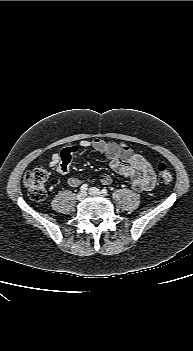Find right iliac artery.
Wrapping results in <instances>:
<instances>
[{
	"label": "right iliac artery",
	"instance_id": "1",
	"mask_svg": "<svg viewBox=\"0 0 193 351\" xmlns=\"http://www.w3.org/2000/svg\"><path fill=\"white\" fill-rule=\"evenodd\" d=\"M87 189H88V185H87V184H83V185L80 187L81 192H86Z\"/></svg>",
	"mask_w": 193,
	"mask_h": 351
}]
</instances>
